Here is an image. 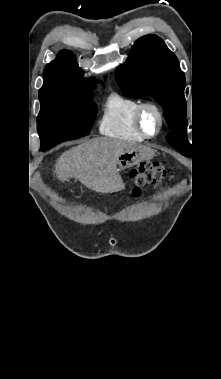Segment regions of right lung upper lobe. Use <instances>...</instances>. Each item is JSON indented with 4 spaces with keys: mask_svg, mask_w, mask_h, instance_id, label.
<instances>
[{
    "mask_svg": "<svg viewBox=\"0 0 221 379\" xmlns=\"http://www.w3.org/2000/svg\"><path fill=\"white\" fill-rule=\"evenodd\" d=\"M83 75L74 55L69 51L60 52L44 69V84L39 91V98L77 97L83 92L90 91L93 80L84 79Z\"/></svg>",
    "mask_w": 221,
    "mask_h": 379,
    "instance_id": "obj_1",
    "label": "right lung upper lobe"
}]
</instances>
